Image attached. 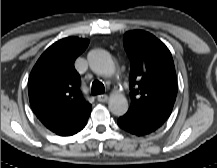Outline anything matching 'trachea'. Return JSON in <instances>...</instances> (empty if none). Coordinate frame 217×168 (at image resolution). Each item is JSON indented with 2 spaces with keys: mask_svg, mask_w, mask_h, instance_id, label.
Wrapping results in <instances>:
<instances>
[{
  "mask_svg": "<svg viewBox=\"0 0 217 168\" xmlns=\"http://www.w3.org/2000/svg\"><path fill=\"white\" fill-rule=\"evenodd\" d=\"M105 91V87L103 85L102 82L95 80L92 83V87H91V93L92 95H99V94H103Z\"/></svg>",
  "mask_w": 217,
  "mask_h": 168,
  "instance_id": "trachea-1",
  "label": "trachea"
}]
</instances>
